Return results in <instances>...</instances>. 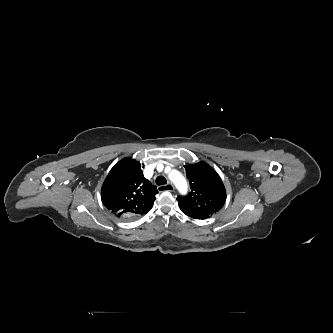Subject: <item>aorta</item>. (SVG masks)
<instances>
[{"label": "aorta", "instance_id": "762f6f07", "mask_svg": "<svg viewBox=\"0 0 333 333\" xmlns=\"http://www.w3.org/2000/svg\"><path fill=\"white\" fill-rule=\"evenodd\" d=\"M168 176L169 179L173 181L179 192L181 194H185L188 184L184 176L177 170H171Z\"/></svg>", "mask_w": 333, "mask_h": 333}]
</instances>
